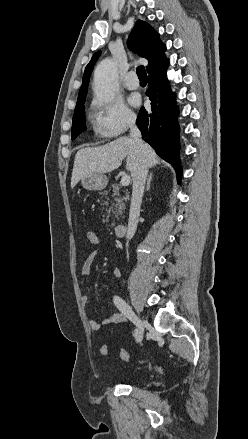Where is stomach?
<instances>
[{
  "instance_id": "stomach-1",
  "label": "stomach",
  "mask_w": 248,
  "mask_h": 439,
  "mask_svg": "<svg viewBox=\"0 0 248 439\" xmlns=\"http://www.w3.org/2000/svg\"><path fill=\"white\" fill-rule=\"evenodd\" d=\"M108 178L104 173H92L81 179L82 186L90 191L102 190L107 186Z\"/></svg>"
}]
</instances>
